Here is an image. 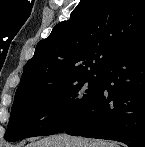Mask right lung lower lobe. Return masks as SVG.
<instances>
[{
  "label": "right lung lower lobe",
  "mask_w": 145,
  "mask_h": 147,
  "mask_svg": "<svg viewBox=\"0 0 145 147\" xmlns=\"http://www.w3.org/2000/svg\"><path fill=\"white\" fill-rule=\"evenodd\" d=\"M63 132L145 147V33L105 66L95 97Z\"/></svg>",
  "instance_id": "right-lung-lower-lobe-1"
}]
</instances>
